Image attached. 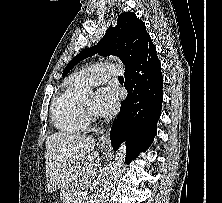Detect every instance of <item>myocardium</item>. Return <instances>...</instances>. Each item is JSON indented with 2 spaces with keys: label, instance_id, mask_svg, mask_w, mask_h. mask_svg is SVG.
<instances>
[{
  "label": "myocardium",
  "instance_id": "myocardium-1",
  "mask_svg": "<svg viewBox=\"0 0 222 203\" xmlns=\"http://www.w3.org/2000/svg\"><path fill=\"white\" fill-rule=\"evenodd\" d=\"M83 109H84V113L85 116L88 120H95L96 119V115L94 114V112L85 104V101H83Z\"/></svg>",
  "mask_w": 222,
  "mask_h": 203
}]
</instances>
